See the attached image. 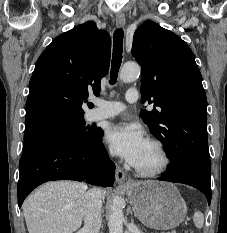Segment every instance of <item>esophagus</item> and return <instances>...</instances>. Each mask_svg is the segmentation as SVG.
<instances>
[{
    "instance_id": "34e87169",
    "label": "esophagus",
    "mask_w": 227,
    "mask_h": 233,
    "mask_svg": "<svg viewBox=\"0 0 227 233\" xmlns=\"http://www.w3.org/2000/svg\"><path fill=\"white\" fill-rule=\"evenodd\" d=\"M125 25V15L123 12H119L116 14V26L118 28H123ZM115 180L119 185H128L129 181L127 180L126 173L120 167H116L115 171Z\"/></svg>"
}]
</instances>
